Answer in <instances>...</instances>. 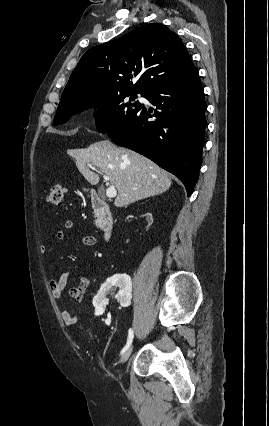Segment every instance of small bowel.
<instances>
[{
    "instance_id": "1",
    "label": "small bowel",
    "mask_w": 269,
    "mask_h": 426,
    "mask_svg": "<svg viewBox=\"0 0 269 426\" xmlns=\"http://www.w3.org/2000/svg\"><path fill=\"white\" fill-rule=\"evenodd\" d=\"M74 228V223L72 221H66L64 223V230H60L56 233L55 237L58 241H61L65 238V231H71ZM80 241L87 246L93 247L97 244V240L92 235H83L80 237ZM41 251L45 253L47 248L45 246L41 247ZM73 267L68 266L65 271L59 276V278H50L48 280V286L52 293V296L55 300H60L63 291L68 283L71 271ZM91 284V280L88 277H80L76 284L71 287L68 291V295L73 299H82ZM60 313L62 320L66 324H74L78 320V316L73 314L65 305H60Z\"/></svg>"
}]
</instances>
